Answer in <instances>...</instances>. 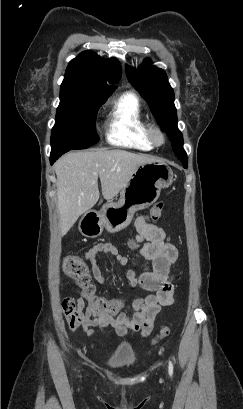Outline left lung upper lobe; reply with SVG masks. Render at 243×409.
I'll return each instance as SVG.
<instances>
[{
	"mask_svg": "<svg viewBox=\"0 0 243 409\" xmlns=\"http://www.w3.org/2000/svg\"><path fill=\"white\" fill-rule=\"evenodd\" d=\"M149 64L150 60L146 59L138 69L126 65L127 78L148 102L157 122L170 137L177 158L187 166L188 158L183 149V137L177 127L173 89L164 70Z\"/></svg>",
	"mask_w": 243,
	"mask_h": 409,
	"instance_id": "left-lung-upper-lobe-1",
	"label": "left lung upper lobe"
}]
</instances>
